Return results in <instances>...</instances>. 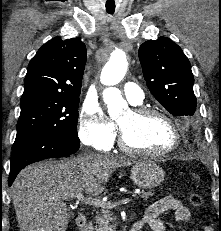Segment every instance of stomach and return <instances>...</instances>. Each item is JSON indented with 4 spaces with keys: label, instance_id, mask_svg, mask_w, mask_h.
Listing matches in <instances>:
<instances>
[{
    "label": "stomach",
    "instance_id": "0dacf381",
    "mask_svg": "<svg viewBox=\"0 0 221 231\" xmlns=\"http://www.w3.org/2000/svg\"><path fill=\"white\" fill-rule=\"evenodd\" d=\"M165 172L152 160L137 161L130 171V178L135 185L145 189L159 186Z\"/></svg>",
    "mask_w": 221,
    "mask_h": 231
}]
</instances>
